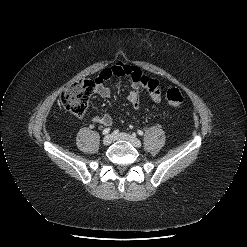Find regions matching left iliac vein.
<instances>
[{
    "label": "left iliac vein",
    "mask_w": 247,
    "mask_h": 247,
    "mask_svg": "<svg viewBox=\"0 0 247 247\" xmlns=\"http://www.w3.org/2000/svg\"><path fill=\"white\" fill-rule=\"evenodd\" d=\"M115 140L127 141L135 147H140L142 145L141 141L133 135L127 133H118L114 135Z\"/></svg>",
    "instance_id": "1"
}]
</instances>
